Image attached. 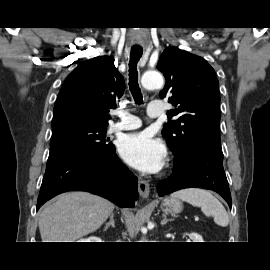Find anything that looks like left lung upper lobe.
Wrapping results in <instances>:
<instances>
[{
    "label": "left lung upper lobe",
    "mask_w": 270,
    "mask_h": 270,
    "mask_svg": "<svg viewBox=\"0 0 270 270\" xmlns=\"http://www.w3.org/2000/svg\"><path fill=\"white\" fill-rule=\"evenodd\" d=\"M158 70L166 78L160 98L175 106L162 134L175 156L192 146L222 150L219 136L220 95L214 69L202 57L175 47L162 53Z\"/></svg>",
    "instance_id": "1"
}]
</instances>
